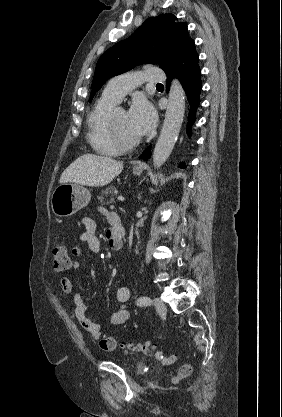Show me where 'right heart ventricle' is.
<instances>
[{
  "label": "right heart ventricle",
  "instance_id": "obj_1",
  "mask_svg": "<svg viewBox=\"0 0 282 417\" xmlns=\"http://www.w3.org/2000/svg\"><path fill=\"white\" fill-rule=\"evenodd\" d=\"M116 103V101L102 95L88 117L87 138L95 150L105 155L114 154L119 149L113 143L110 133L105 129L108 115Z\"/></svg>",
  "mask_w": 282,
  "mask_h": 417
}]
</instances>
